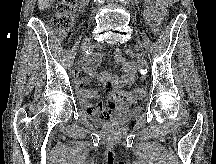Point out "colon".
I'll return each mask as SVG.
<instances>
[{
  "instance_id": "colon-1",
  "label": "colon",
  "mask_w": 216,
  "mask_h": 164,
  "mask_svg": "<svg viewBox=\"0 0 216 164\" xmlns=\"http://www.w3.org/2000/svg\"><path fill=\"white\" fill-rule=\"evenodd\" d=\"M179 1L171 0L174 4H177ZM76 9L77 0H60L58 2L52 24L59 33H66L70 29ZM112 97L119 104L133 105L145 97V90L141 87H137L128 92L114 90Z\"/></svg>"
}]
</instances>
